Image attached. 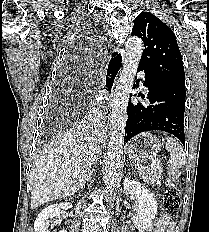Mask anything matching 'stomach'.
<instances>
[{
  "label": "stomach",
  "mask_w": 209,
  "mask_h": 232,
  "mask_svg": "<svg viewBox=\"0 0 209 232\" xmlns=\"http://www.w3.org/2000/svg\"><path fill=\"white\" fill-rule=\"evenodd\" d=\"M160 150L159 140L150 133L136 136L125 146L128 157L136 161L152 159L158 155Z\"/></svg>",
  "instance_id": "0dacf381"
}]
</instances>
